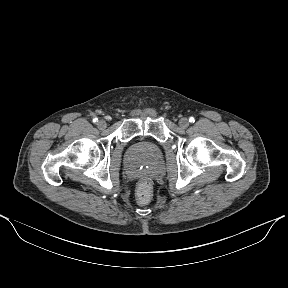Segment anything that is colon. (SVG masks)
Here are the masks:
<instances>
[{"instance_id": "1", "label": "colon", "mask_w": 288, "mask_h": 288, "mask_svg": "<svg viewBox=\"0 0 288 288\" xmlns=\"http://www.w3.org/2000/svg\"><path fill=\"white\" fill-rule=\"evenodd\" d=\"M152 196V188L148 181L143 180L139 183L136 197L140 204H146L150 201Z\"/></svg>"}]
</instances>
